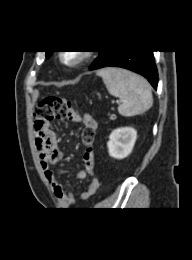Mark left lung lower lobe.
I'll list each match as a JSON object with an SVG mask.
<instances>
[{
  "instance_id": "obj_1",
  "label": "left lung lower lobe",
  "mask_w": 192,
  "mask_h": 260,
  "mask_svg": "<svg viewBox=\"0 0 192 260\" xmlns=\"http://www.w3.org/2000/svg\"><path fill=\"white\" fill-rule=\"evenodd\" d=\"M152 50L100 51L98 58L90 65L89 70L103 67H121L143 75L157 89L158 73Z\"/></svg>"
}]
</instances>
